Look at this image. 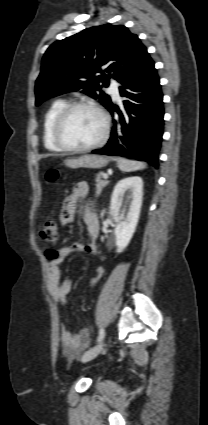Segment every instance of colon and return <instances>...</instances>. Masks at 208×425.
<instances>
[{
    "mask_svg": "<svg viewBox=\"0 0 208 425\" xmlns=\"http://www.w3.org/2000/svg\"><path fill=\"white\" fill-rule=\"evenodd\" d=\"M45 178L49 183H54L59 178V171L57 169H49L47 170L45 174ZM41 238L49 243H53L58 238V225L53 220H48L44 223L41 232H40ZM47 255L54 259L58 256V252L55 250H49L47 252ZM105 271L103 268L99 267L94 269L90 276L88 277L87 284L89 287H96L98 286L103 278H104Z\"/></svg>",
    "mask_w": 208,
    "mask_h": 425,
    "instance_id": "5ec220e1",
    "label": "colon"
}]
</instances>
